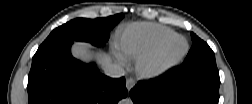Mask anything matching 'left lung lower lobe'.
<instances>
[{"instance_id": "obj_1", "label": "left lung lower lobe", "mask_w": 252, "mask_h": 104, "mask_svg": "<svg viewBox=\"0 0 252 104\" xmlns=\"http://www.w3.org/2000/svg\"><path fill=\"white\" fill-rule=\"evenodd\" d=\"M219 86L216 63H183L156 79L138 82L130 97L134 104H218Z\"/></svg>"}]
</instances>
